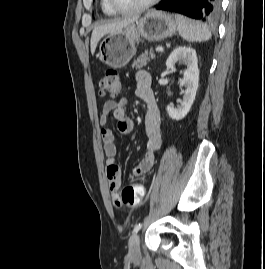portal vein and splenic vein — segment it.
Returning <instances> with one entry per match:
<instances>
[{"instance_id":"1","label":"portal vein and splenic vein","mask_w":265,"mask_h":269,"mask_svg":"<svg viewBox=\"0 0 265 269\" xmlns=\"http://www.w3.org/2000/svg\"><path fill=\"white\" fill-rule=\"evenodd\" d=\"M156 51H157V52H163L164 49H163V47H157V48H156Z\"/></svg>"}]
</instances>
